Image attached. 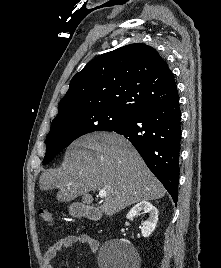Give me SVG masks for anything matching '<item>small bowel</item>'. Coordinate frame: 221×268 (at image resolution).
Here are the masks:
<instances>
[{"instance_id":"small-bowel-1","label":"small bowel","mask_w":221,"mask_h":268,"mask_svg":"<svg viewBox=\"0 0 221 268\" xmlns=\"http://www.w3.org/2000/svg\"><path fill=\"white\" fill-rule=\"evenodd\" d=\"M75 244L86 245L92 252L98 250V241L87 234L68 235L50 245L43 256L45 268H56L54 261L59 251L70 248Z\"/></svg>"}]
</instances>
